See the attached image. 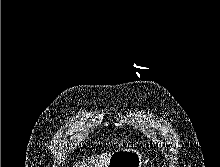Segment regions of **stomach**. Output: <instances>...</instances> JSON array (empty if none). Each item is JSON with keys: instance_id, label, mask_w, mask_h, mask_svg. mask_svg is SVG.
Returning a JSON list of instances; mask_svg holds the SVG:
<instances>
[{"instance_id": "1", "label": "stomach", "mask_w": 220, "mask_h": 167, "mask_svg": "<svg viewBox=\"0 0 220 167\" xmlns=\"http://www.w3.org/2000/svg\"><path fill=\"white\" fill-rule=\"evenodd\" d=\"M142 154L132 148H122L111 154L107 167H142Z\"/></svg>"}]
</instances>
